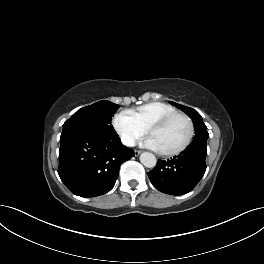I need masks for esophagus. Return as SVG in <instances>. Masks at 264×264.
Instances as JSON below:
<instances>
[{
  "instance_id": "obj_1",
  "label": "esophagus",
  "mask_w": 264,
  "mask_h": 264,
  "mask_svg": "<svg viewBox=\"0 0 264 264\" xmlns=\"http://www.w3.org/2000/svg\"><path fill=\"white\" fill-rule=\"evenodd\" d=\"M140 153H141V151H139V150H135V151H134V155H135V156H138Z\"/></svg>"
}]
</instances>
